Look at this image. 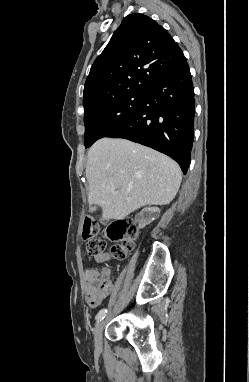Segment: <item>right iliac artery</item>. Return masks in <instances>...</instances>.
I'll use <instances>...</instances> for the list:
<instances>
[{
    "label": "right iliac artery",
    "instance_id": "82829eb1",
    "mask_svg": "<svg viewBox=\"0 0 249 382\" xmlns=\"http://www.w3.org/2000/svg\"><path fill=\"white\" fill-rule=\"evenodd\" d=\"M106 313H107V309H101L98 314L96 315V320L99 322L101 320L104 319V317L106 316Z\"/></svg>",
    "mask_w": 249,
    "mask_h": 382
}]
</instances>
